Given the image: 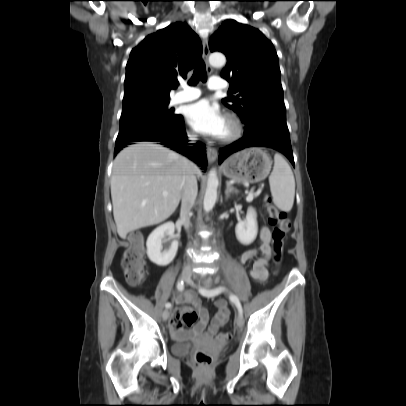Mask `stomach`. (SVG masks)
<instances>
[{
    "mask_svg": "<svg viewBox=\"0 0 406 406\" xmlns=\"http://www.w3.org/2000/svg\"><path fill=\"white\" fill-rule=\"evenodd\" d=\"M272 166L269 155L261 148L251 147L230 156L222 165L223 174L239 182L264 180Z\"/></svg>",
    "mask_w": 406,
    "mask_h": 406,
    "instance_id": "obj_1",
    "label": "stomach"
}]
</instances>
